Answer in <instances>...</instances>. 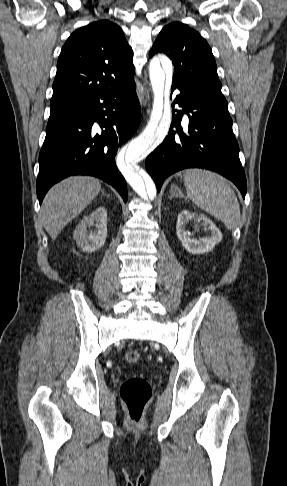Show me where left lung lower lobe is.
I'll list each match as a JSON object with an SVG mask.
<instances>
[{
  "mask_svg": "<svg viewBox=\"0 0 287 486\" xmlns=\"http://www.w3.org/2000/svg\"><path fill=\"white\" fill-rule=\"evenodd\" d=\"M175 89L180 90L175 103L184 110L173 112L168 136L146 159L157 190L166 177L179 170L205 168L230 179L245 197L246 177L230 115L210 105L187 84L173 81L172 92ZM184 113L189 117L186 130L180 126Z\"/></svg>",
  "mask_w": 287,
  "mask_h": 486,
  "instance_id": "obj_1",
  "label": "left lung lower lobe"
}]
</instances>
